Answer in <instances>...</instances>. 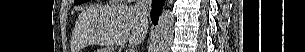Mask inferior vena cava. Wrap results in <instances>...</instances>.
<instances>
[{
    "label": "inferior vena cava",
    "mask_w": 305,
    "mask_h": 52,
    "mask_svg": "<svg viewBox=\"0 0 305 52\" xmlns=\"http://www.w3.org/2000/svg\"><path fill=\"white\" fill-rule=\"evenodd\" d=\"M152 0H137L135 8L140 12L142 19L148 25V17L151 12Z\"/></svg>",
    "instance_id": "obj_1"
}]
</instances>
